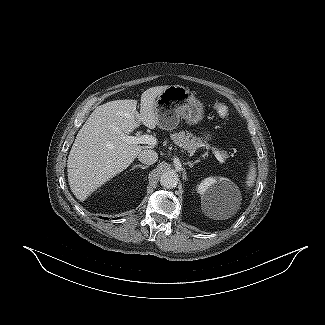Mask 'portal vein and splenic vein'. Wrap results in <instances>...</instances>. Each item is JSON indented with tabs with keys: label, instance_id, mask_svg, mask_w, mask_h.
Masks as SVG:
<instances>
[{
	"label": "portal vein and splenic vein",
	"instance_id": "portal-vein-and-splenic-vein-1",
	"mask_svg": "<svg viewBox=\"0 0 325 325\" xmlns=\"http://www.w3.org/2000/svg\"><path fill=\"white\" fill-rule=\"evenodd\" d=\"M123 140L126 141L129 144H148L150 146H155L157 144V140L155 137H153L152 135H148V134H143V135H139V136H123ZM212 153L214 154V156L217 158V160L221 163L224 162L223 157L221 156V154L216 151V150H212Z\"/></svg>",
	"mask_w": 325,
	"mask_h": 325
}]
</instances>
